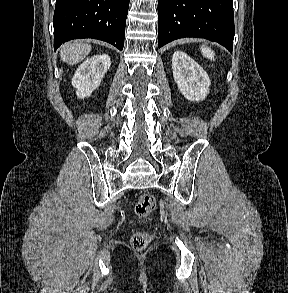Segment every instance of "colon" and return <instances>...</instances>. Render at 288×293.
<instances>
[{"label":"colon","mask_w":288,"mask_h":293,"mask_svg":"<svg viewBox=\"0 0 288 293\" xmlns=\"http://www.w3.org/2000/svg\"><path fill=\"white\" fill-rule=\"evenodd\" d=\"M155 208V199L152 195H141L135 204V213L139 218L148 217ZM152 240V235L147 232H137L131 238L132 247L136 250L145 249Z\"/></svg>","instance_id":"obj_1"}]
</instances>
